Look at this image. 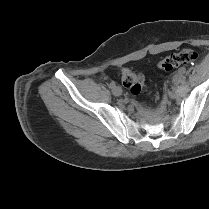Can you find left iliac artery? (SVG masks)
<instances>
[{
    "label": "left iliac artery",
    "mask_w": 209,
    "mask_h": 209,
    "mask_svg": "<svg viewBox=\"0 0 209 209\" xmlns=\"http://www.w3.org/2000/svg\"><path fill=\"white\" fill-rule=\"evenodd\" d=\"M179 73H185V68L183 66H180L178 68Z\"/></svg>",
    "instance_id": "obj_1"
}]
</instances>
